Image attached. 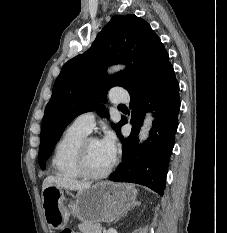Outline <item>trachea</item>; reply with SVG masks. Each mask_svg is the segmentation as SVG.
Wrapping results in <instances>:
<instances>
[{
  "label": "trachea",
  "instance_id": "trachea-1",
  "mask_svg": "<svg viewBox=\"0 0 227 233\" xmlns=\"http://www.w3.org/2000/svg\"><path fill=\"white\" fill-rule=\"evenodd\" d=\"M119 106H125V105H123V104H120Z\"/></svg>",
  "mask_w": 227,
  "mask_h": 233
}]
</instances>
